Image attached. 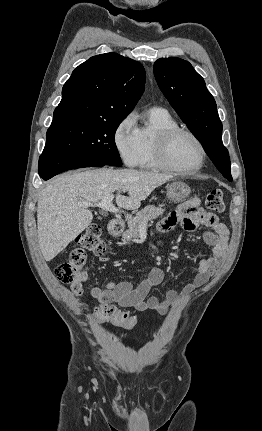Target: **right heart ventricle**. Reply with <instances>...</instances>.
<instances>
[{
    "label": "right heart ventricle",
    "instance_id": "1",
    "mask_svg": "<svg viewBox=\"0 0 262 431\" xmlns=\"http://www.w3.org/2000/svg\"><path fill=\"white\" fill-rule=\"evenodd\" d=\"M146 116L145 124L137 127L140 145L137 165L144 169H161L155 155L157 135L163 129L177 127V123L167 110L158 107L149 109Z\"/></svg>",
    "mask_w": 262,
    "mask_h": 431
}]
</instances>
